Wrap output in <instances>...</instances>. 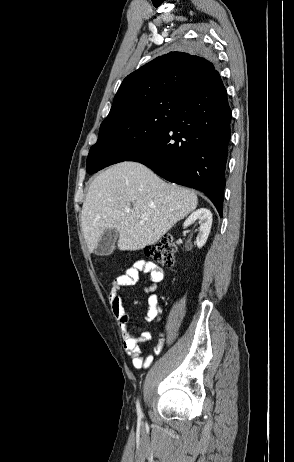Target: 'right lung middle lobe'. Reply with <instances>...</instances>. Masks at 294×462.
<instances>
[{"label": "right lung middle lobe", "instance_id": "1", "mask_svg": "<svg viewBox=\"0 0 294 462\" xmlns=\"http://www.w3.org/2000/svg\"><path fill=\"white\" fill-rule=\"evenodd\" d=\"M199 55L210 56L202 42L191 44ZM185 101L181 94H166L109 113L100 126L99 137L88 156H98L102 168L125 161L143 143L160 133Z\"/></svg>", "mask_w": 294, "mask_h": 462}]
</instances>
